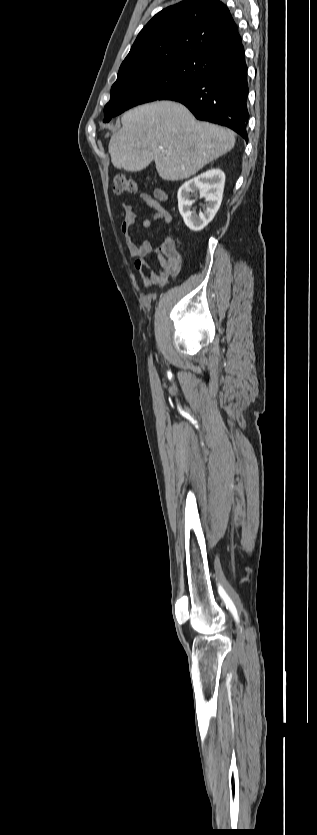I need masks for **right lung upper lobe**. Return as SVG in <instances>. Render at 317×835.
<instances>
[{
    "label": "right lung upper lobe",
    "mask_w": 317,
    "mask_h": 835,
    "mask_svg": "<svg viewBox=\"0 0 317 835\" xmlns=\"http://www.w3.org/2000/svg\"><path fill=\"white\" fill-rule=\"evenodd\" d=\"M237 35L228 8L218 0H184L157 13L141 30L118 76L195 57Z\"/></svg>",
    "instance_id": "cb5924a9"
}]
</instances>
